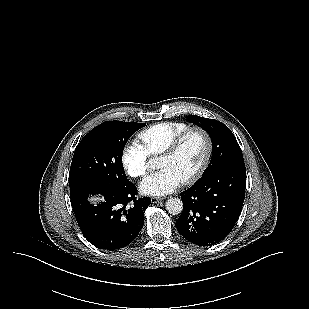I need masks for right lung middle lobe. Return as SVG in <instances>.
I'll use <instances>...</instances> for the list:
<instances>
[{
    "label": "right lung middle lobe",
    "mask_w": 309,
    "mask_h": 309,
    "mask_svg": "<svg viewBox=\"0 0 309 309\" xmlns=\"http://www.w3.org/2000/svg\"><path fill=\"white\" fill-rule=\"evenodd\" d=\"M144 123L107 121L93 128L76 147L71 163L69 185L101 181L124 186L127 179L122 153L127 140Z\"/></svg>",
    "instance_id": "right-lung-middle-lobe-1"
}]
</instances>
